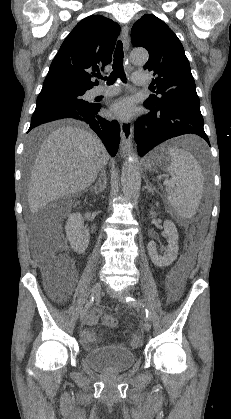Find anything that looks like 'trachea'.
I'll return each mask as SVG.
<instances>
[{"instance_id": "3493384b", "label": "trachea", "mask_w": 231, "mask_h": 419, "mask_svg": "<svg viewBox=\"0 0 231 419\" xmlns=\"http://www.w3.org/2000/svg\"><path fill=\"white\" fill-rule=\"evenodd\" d=\"M123 44L121 41H118L115 52H114V63L113 71L109 77H104L103 79L107 81L108 85L113 84L117 78H120L122 81H125V73L123 69ZM97 78L102 79L101 75H97Z\"/></svg>"}]
</instances>
